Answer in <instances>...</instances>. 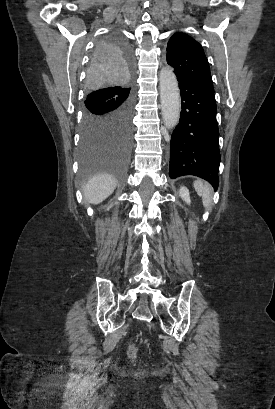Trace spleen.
<instances>
[{"instance_id": "3e777b00", "label": "spleen", "mask_w": 275, "mask_h": 409, "mask_svg": "<svg viewBox=\"0 0 275 409\" xmlns=\"http://www.w3.org/2000/svg\"><path fill=\"white\" fill-rule=\"evenodd\" d=\"M194 186L197 194L202 196L203 207L205 209H209L211 207L212 196H211V188L208 182H202V180H194Z\"/></svg>"}]
</instances>
